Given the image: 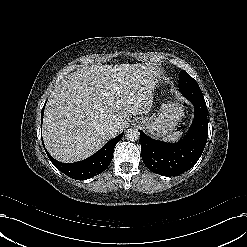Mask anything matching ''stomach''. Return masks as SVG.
<instances>
[{
    "mask_svg": "<svg viewBox=\"0 0 247 247\" xmlns=\"http://www.w3.org/2000/svg\"><path fill=\"white\" fill-rule=\"evenodd\" d=\"M184 116L183 105L179 101L162 104L158 113L151 117L137 118L141 126L155 138L171 133Z\"/></svg>",
    "mask_w": 247,
    "mask_h": 247,
    "instance_id": "stomach-1",
    "label": "stomach"
}]
</instances>
